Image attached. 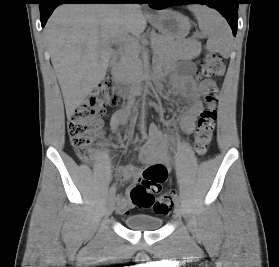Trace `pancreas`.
<instances>
[{
	"label": "pancreas",
	"mask_w": 279,
	"mask_h": 267,
	"mask_svg": "<svg viewBox=\"0 0 279 267\" xmlns=\"http://www.w3.org/2000/svg\"><path fill=\"white\" fill-rule=\"evenodd\" d=\"M151 41L155 52L165 59H190L198 55L201 48L200 44L193 40L176 42L161 35H152ZM141 51L142 46L137 41H131L124 47L119 69L125 79L137 80L143 75Z\"/></svg>",
	"instance_id": "pancreas-1"
}]
</instances>
